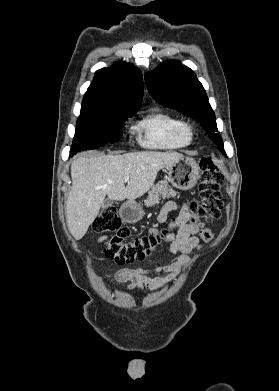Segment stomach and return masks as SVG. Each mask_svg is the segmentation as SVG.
Instances as JSON below:
<instances>
[{
    "instance_id": "1",
    "label": "stomach",
    "mask_w": 279,
    "mask_h": 391,
    "mask_svg": "<svg viewBox=\"0 0 279 391\" xmlns=\"http://www.w3.org/2000/svg\"><path fill=\"white\" fill-rule=\"evenodd\" d=\"M167 169L169 181L174 187L183 191L193 188L200 177V168L190 157H182ZM144 214L142 207L133 201L125 202L120 208L121 218L128 223L138 222Z\"/></svg>"
}]
</instances>
